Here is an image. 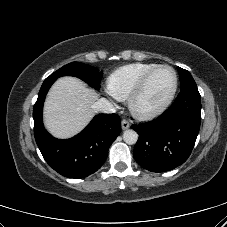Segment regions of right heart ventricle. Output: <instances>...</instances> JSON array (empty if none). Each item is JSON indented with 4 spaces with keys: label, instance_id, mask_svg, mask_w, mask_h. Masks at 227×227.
I'll list each match as a JSON object with an SVG mask.
<instances>
[{
    "label": "right heart ventricle",
    "instance_id": "right-heart-ventricle-1",
    "mask_svg": "<svg viewBox=\"0 0 227 227\" xmlns=\"http://www.w3.org/2000/svg\"><path fill=\"white\" fill-rule=\"evenodd\" d=\"M157 65L138 62L119 67L107 79L109 93L118 100H127L140 79Z\"/></svg>",
    "mask_w": 227,
    "mask_h": 227
}]
</instances>
